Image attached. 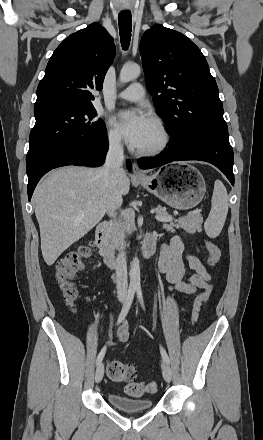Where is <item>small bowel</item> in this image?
<instances>
[{"mask_svg": "<svg viewBox=\"0 0 263 440\" xmlns=\"http://www.w3.org/2000/svg\"><path fill=\"white\" fill-rule=\"evenodd\" d=\"M149 238V237H147ZM185 262L193 271L189 274ZM158 270L164 276L171 289L183 297L194 294L199 289H205L211 280V273L205 268L200 259L185 252V245L179 237H173L160 249ZM117 340L125 342L129 339V327L125 322L117 329Z\"/></svg>", "mask_w": 263, "mask_h": 440, "instance_id": "obj_1", "label": "small bowel"}]
</instances>
